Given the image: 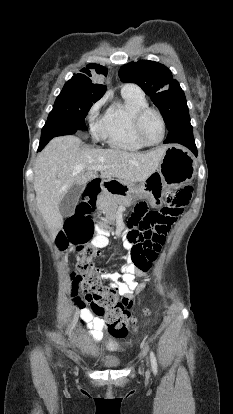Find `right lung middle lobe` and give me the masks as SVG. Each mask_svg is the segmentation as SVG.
Returning <instances> with one entry per match:
<instances>
[{
  "instance_id": "1",
  "label": "right lung middle lobe",
  "mask_w": 233,
  "mask_h": 414,
  "mask_svg": "<svg viewBox=\"0 0 233 414\" xmlns=\"http://www.w3.org/2000/svg\"><path fill=\"white\" fill-rule=\"evenodd\" d=\"M98 100L99 98L94 94L64 86L47 121L62 123L76 130H83L85 128L84 119L93 103Z\"/></svg>"
}]
</instances>
